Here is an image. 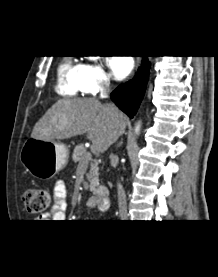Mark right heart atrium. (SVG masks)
<instances>
[{
  "mask_svg": "<svg viewBox=\"0 0 218 277\" xmlns=\"http://www.w3.org/2000/svg\"><path fill=\"white\" fill-rule=\"evenodd\" d=\"M109 78L99 63L91 62L82 65L81 85L83 92L92 93L104 89Z\"/></svg>",
  "mask_w": 218,
  "mask_h": 277,
  "instance_id": "d8ad5b80",
  "label": "right heart atrium"
}]
</instances>
